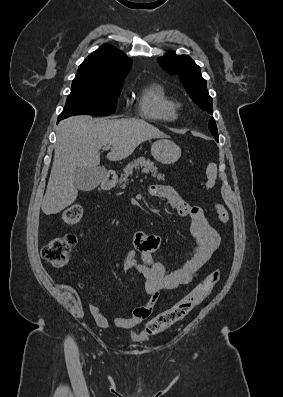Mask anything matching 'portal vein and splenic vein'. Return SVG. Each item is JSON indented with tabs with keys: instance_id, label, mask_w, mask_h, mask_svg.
<instances>
[{
	"instance_id": "portal-vein-and-splenic-vein-1",
	"label": "portal vein and splenic vein",
	"mask_w": 283,
	"mask_h": 397,
	"mask_svg": "<svg viewBox=\"0 0 283 397\" xmlns=\"http://www.w3.org/2000/svg\"><path fill=\"white\" fill-rule=\"evenodd\" d=\"M111 147L109 145H106L103 147V150L108 151Z\"/></svg>"
}]
</instances>
